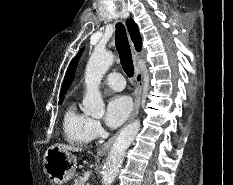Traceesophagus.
<instances>
[{"instance_id":"esophagus-1","label":"esophagus","mask_w":233,"mask_h":185,"mask_svg":"<svg viewBox=\"0 0 233 185\" xmlns=\"http://www.w3.org/2000/svg\"><path fill=\"white\" fill-rule=\"evenodd\" d=\"M130 47H131V52H132V57H133L135 74H136V76H138L141 74V70H140L139 62H138L139 61V53L136 51L132 42H130ZM141 82L142 81H139L137 83V86H136L134 108H133L132 114L128 120V123L131 122L138 115V112H139V108H140V104H141V93H142ZM119 132H117L115 135H113L107 142L102 144L97 149V153L99 155H104L109 151L110 147L112 146V144L115 141L116 137L118 136Z\"/></svg>"}]
</instances>
